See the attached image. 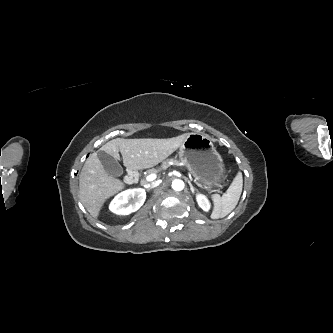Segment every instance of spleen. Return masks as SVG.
<instances>
[{
    "mask_svg": "<svg viewBox=\"0 0 333 333\" xmlns=\"http://www.w3.org/2000/svg\"><path fill=\"white\" fill-rule=\"evenodd\" d=\"M242 187L243 178L242 174L239 172L225 194L222 196L219 194L212 195L214 206L210 217L212 219H219L224 218L231 213L238 204L242 193Z\"/></svg>",
    "mask_w": 333,
    "mask_h": 333,
    "instance_id": "obj_1",
    "label": "spleen"
}]
</instances>
